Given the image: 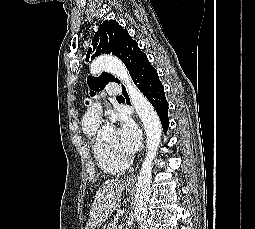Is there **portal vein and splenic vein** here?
<instances>
[{"instance_id":"portal-vein-and-splenic-vein-1","label":"portal vein and splenic vein","mask_w":255,"mask_h":229,"mask_svg":"<svg viewBox=\"0 0 255 229\" xmlns=\"http://www.w3.org/2000/svg\"><path fill=\"white\" fill-rule=\"evenodd\" d=\"M114 229H117V226H114Z\"/></svg>"}]
</instances>
